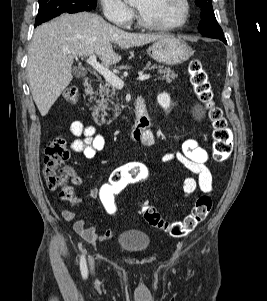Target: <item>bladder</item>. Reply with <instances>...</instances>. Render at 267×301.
Segmentation results:
<instances>
[{"label":"bladder","mask_w":267,"mask_h":301,"mask_svg":"<svg viewBox=\"0 0 267 301\" xmlns=\"http://www.w3.org/2000/svg\"><path fill=\"white\" fill-rule=\"evenodd\" d=\"M117 244L120 248L130 253H143L149 249L151 239L142 230L127 229L119 234Z\"/></svg>","instance_id":"bladder-1"}]
</instances>
